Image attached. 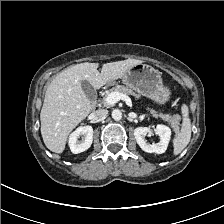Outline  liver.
<instances>
[{
    "instance_id": "obj_1",
    "label": "liver",
    "mask_w": 224,
    "mask_h": 224,
    "mask_svg": "<svg viewBox=\"0 0 224 224\" xmlns=\"http://www.w3.org/2000/svg\"><path fill=\"white\" fill-rule=\"evenodd\" d=\"M141 60L126 59L102 65L81 63L61 71L48 85L40 113L41 135L46 147L62 153L71 131L92 111L81 82L88 81L94 89L115 81Z\"/></svg>"
}]
</instances>
